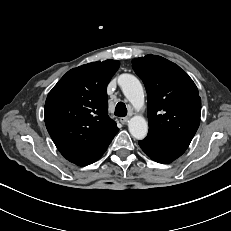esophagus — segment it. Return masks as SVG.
Wrapping results in <instances>:
<instances>
[{
    "label": "esophagus",
    "mask_w": 231,
    "mask_h": 231,
    "mask_svg": "<svg viewBox=\"0 0 231 231\" xmlns=\"http://www.w3.org/2000/svg\"><path fill=\"white\" fill-rule=\"evenodd\" d=\"M128 121H129V117H121V118H120V122H121L122 124H126Z\"/></svg>",
    "instance_id": "esophagus-1"
}]
</instances>
